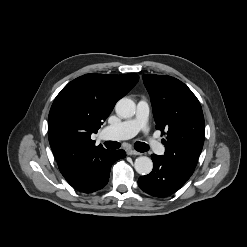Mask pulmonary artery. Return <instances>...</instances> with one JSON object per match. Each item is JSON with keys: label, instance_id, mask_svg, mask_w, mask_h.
<instances>
[{"label": "pulmonary artery", "instance_id": "e3ab8cb5", "mask_svg": "<svg viewBox=\"0 0 247 247\" xmlns=\"http://www.w3.org/2000/svg\"><path fill=\"white\" fill-rule=\"evenodd\" d=\"M149 111L148 102L144 99L140 100L137 103L136 114L132 119L107 126L103 130V135L114 140H123L135 136L139 131L147 129ZM149 146L157 154H163L165 151L164 146L154 139H149Z\"/></svg>", "mask_w": 247, "mask_h": 247}]
</instances>
